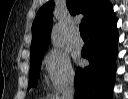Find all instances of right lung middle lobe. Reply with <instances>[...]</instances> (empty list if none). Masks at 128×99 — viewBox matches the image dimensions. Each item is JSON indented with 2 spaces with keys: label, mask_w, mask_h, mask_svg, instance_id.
<instances>
[{
  "label": "right lung middle lobe",
  "mask_w": 128,
  "mask_h": 99,
  "mask_svg": "<svg viewBox=\"0 0 128 99\" xmlns=\"http://www.w3.org/2000/svg\"><path fill=\"white\" fill-rule=\"evenodd\" d=\"M44 54L30 58V74H29V85L28 88L34 86L36 87L38 80V75L40 72L41 60Z\"/></svg>",
  "instance_id": "right-lung-middle-lobe-1"
}]
</instances>
